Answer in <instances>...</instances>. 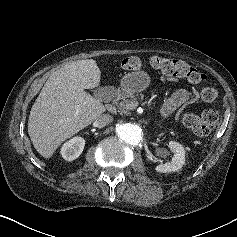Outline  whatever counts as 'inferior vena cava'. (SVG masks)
<instances>
[{"label": "inferior vena cava", "mask_w": 237, "mask_h": 237, "mask_svg": "<svg viewBox=\"0 0 237 237\" xmlns=\"http://www.w3.org/2000/svg\"><path fill=\"white\" fill-rule=\"evenodd\" d=\"M112 121H113V117L111 115L102 114L95 120L94 126L102 128L108 125L109 123H111Z\"/></svg>", "instance_id": "1"}]
</instances>
